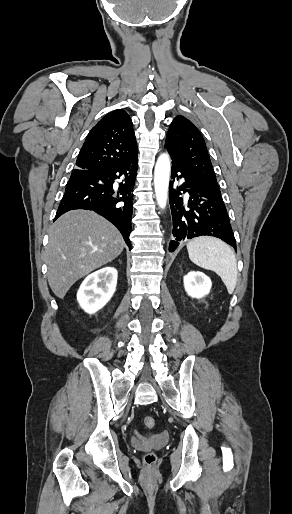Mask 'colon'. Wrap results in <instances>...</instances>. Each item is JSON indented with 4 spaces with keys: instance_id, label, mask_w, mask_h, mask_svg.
<instances>
[{
    "instance_id": "obj_1",
    "label": "colon",
    "mask_w": 292,
    "mask_h": 514,
    "mask_svg": "<svg viewBox=\"0 0 292 514\" xmlns=\"http://www.w3.org/2000/svg\"><path fill=\"white\" fill-rule=\"evenodd\" d=\"M143 422H144V425L149 429L153 428L156 423L155 419L152 415H145L143 418ZM144 460L147 464H153L156 460V456L153 453V451H147L145 453Z\"/></svg>"
}]
</instances>
